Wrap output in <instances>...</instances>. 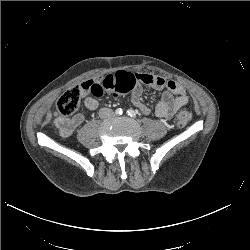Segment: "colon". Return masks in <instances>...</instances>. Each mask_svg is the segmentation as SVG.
I'll return each instance as SVG.
<instances>
[{
    "instance_id": "1",
    "label": "colon",
    "mask_w": 250,
    "mask_h": 250,
    "mask_svg": "<svg viewBox=\"0 0 250 250\" xmlns=\"http://www.w3.org/2000/svg\"><path fill=\"white\" fill-rule=\"evenodd\" d=\"M105 88L102 84L95 83L90 86V93L95 97L104 94ZM81 89L72 87L62 93L56 101V110L62 116H70L74 114L80 103ZM192 119V112L187 108L178 111L175 117V125L177 128H184Z\"/></svg>"
}]
</instances>
